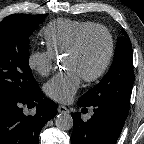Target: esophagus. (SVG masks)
I'll list each match as a JSON object with an SVG mask.
<instances>
[{"mask_svg": "<svg viewBox=\"0 0 144 144\" xmlns=\"http://www.w3.org/2000/svg\"><path fill=\"white\" fill-rule=\"evenodd\" d=\"M58 112L62 113V114H66V113H69V109L63 105H59L58 106Z\"/></svg>", "mask_w": 144, "mask_h": 144, "instance_id": "1", "label": "esophagus"}]
</instances>
